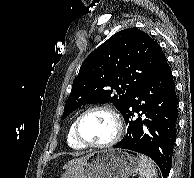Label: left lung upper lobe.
Listing matches in <instances>:
<instances>
[{
  "instance_id": "1",
  "label": "left lung upper lobe",
  "mask_w": 194,
  "mask_h": 178,
  "mask_svg": "<svg viewBox=\"0 0 194 178\" xmlns=\"http://www.w3.org/2000/svg\"><path fill=\"white\" fill-rule=\"evenodd\" d=\"M166 63L159 44L145 32L136 27L117 32L82 63L61 119L84 104L112 102L121 112L129 95Z\"/></svg>"
}]
</instances>
